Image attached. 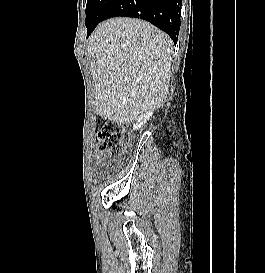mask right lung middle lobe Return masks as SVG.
Returning a JSON list of instances; mask_svg holds the SVG:
<instances>
[{
  "label": "right lung middle lobe",
  "mask_w": 265,
  "mask_h": 273,
  "mask_svg": "<svg viewBox=\"0 0 265 273\" xmlns=\"http://www.w3.org/2000/svg\"><path fill=\"white\" fill-rule=\"evenodd\" d=\"M113 0H87L86 5V27L88 30L93 29L99 22Z\"/></svg>",
  "instance_id": "obj_1"
}]
</instances>
